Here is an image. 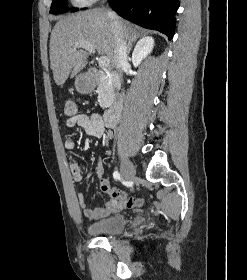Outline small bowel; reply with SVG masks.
Instances as JSON below:
<instances>
[{"label": "small bowel", "mask_w": 247, "mask_h": 280, "mask_svg": "<svg viewBox=\"0 0 247 280\" xmlns=\"http://www.w3.org/2000/svg\"><path fill=\"white\" fill-rule=\"evenodd\" d=\"M66 126L68 128L81 127L92 137H102L107 132L104 117L98 112L74 115L67 120ZM64 145L66 149L72 150L76 147V141L72 136H68L65 139ZM71 171L76 182H82L84 180L85 167L83 165H80L73 160L71 162ZM102 173L103 168L99 160L95 169V174L99 179L100 189L109 195V200L103 207L90 209L85 194L83 192L77 193L79 206L83 210L84 216L87 219H102L126 208L142 205L143 201L141 199L130 198L124 191L112 187L110 182L102 177ZM133 201L136 203L132 204Z\"/></svg>", "instance_id": "obj_1"}]
</instances>
